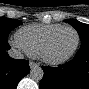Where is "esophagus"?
I'll list each match as a JSON object with an SVG mask.
<instances>
[{"instance_id":"34e87169","label":"esophagus","mask_w":89,"mask_h":89,"mask_svg":"<svg viewBox=\"0 0 89 89\" xmlns=\"http://www.w3.org/2000/svg\"><path fill=\"white\" fill-rule=\"evenodd\" d=\"M29 65H30V68H35V67L39 66V64H37V63H35L33 61H30Z\"/></svg>"}]
</instances>
